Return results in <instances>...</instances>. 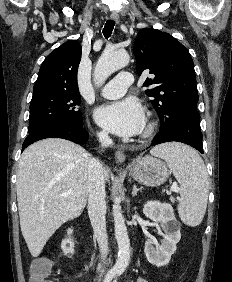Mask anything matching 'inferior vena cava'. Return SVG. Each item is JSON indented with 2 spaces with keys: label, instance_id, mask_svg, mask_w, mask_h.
I'll use <instances>...</instances> for the list:
<instances>
[{
  "label": "inferior vena cava",
  "instance_id": "obj_1",
  "mask_svg": "<svg viewBox=\"0 0 232 282\" xmlns=\"http://www.w3.org/2000/svg\"><path fill=\"white\" fill-rule=\"evenodd\" d=\"M102 148L112 144V140L106 132L98 134ZM88 215L93 227L94 236L97 239L104 264L108 253V236L106 231V202L105 179L103 168L99 160L91 158L88 162ZM104 273V269L101 270Z\"/></svg>",
  "mask_w": 232,
  "mask_h": 282
}]
</instances>
